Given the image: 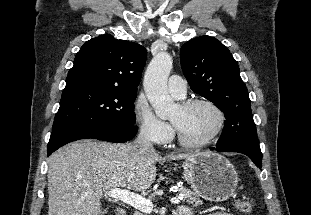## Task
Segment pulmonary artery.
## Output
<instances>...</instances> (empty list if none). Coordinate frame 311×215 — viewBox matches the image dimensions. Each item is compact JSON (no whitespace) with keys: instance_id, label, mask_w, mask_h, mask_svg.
<instances>
[{"instance_id":"1","label":"pulmonary artery","mask_w":311,"mask_h":215,"mask_svg":"<svg viewBox=\"0 0 311 215\" xmlns=\"http://www.w3.org/2000/svg\"><path fill=\"white\" fill-rule=\"evenodd\" d=\"M168 90L177 99H183L187 94V83L179 75H171L168 79Z\"/></svg>"}]
</instances>
